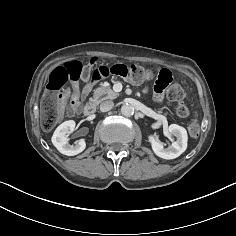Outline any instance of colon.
<instances>
[{
  "mask_svg": "<svg viewBox=\"0 0 236 236\" xmlns=\"http://www.w3.org/2000/svg\"><path fill=\"white\" fill-rule=\"evenodd\" d=\"M110 75L127 78L134 83H142L153 79L152 71L140 64H114L92 68L90 65H83L77 60L67 62L56 68L49 77L46 86L47 92L42 104V128L51 130L61 120L64 112V95L61 92L68 82L76 83L82 79L92 83L105 79ZM155 91L165 93L169 100L177 103L176 113L178 116L186 118L190 115V109L184 103L186 92L179 84L172 83V73L169 70L165 69L159 73L155 83ZM79 110V98L73 95L68 111L74 114ZM188 132L191 137L199 135L200 126L197 120H193L189 124Z\"/></svg>",
  "mask_w": 236,
  "mask_h": 236,
  "instance_id": "1",
  "label": "colon"
}]
</instances>
